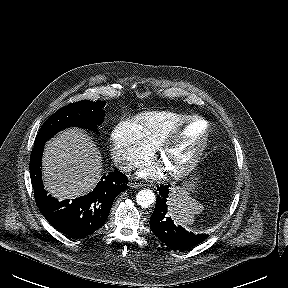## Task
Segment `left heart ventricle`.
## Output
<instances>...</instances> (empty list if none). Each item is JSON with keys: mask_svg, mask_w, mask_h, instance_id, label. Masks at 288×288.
<instances>
[{"mask_svg": "<svg viewBox=\"0 0 288 288\" xmlns=\"http://www.w3.org/2000/svg\"><path fill=\"white\" fill-rule=\"evenodd\" d=\"M204 131L205 124L202 122L196 121L189 124L161 158L164 168L171 170L181 166L201 141Z\"/></svg>", "mask_w": 288, "mask_h": 288, "instance_id": "left-heart-ventricle-1", "label": "left heart ventricle"}]
</instances>
